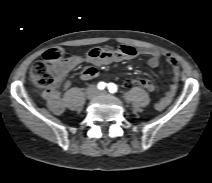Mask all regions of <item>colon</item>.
I'll return each mask as SVG.
<instances>
[{"label": "colon", "mask_w": 212, "mask_h": 183, "mask_svg": "<svg viewBox=\"0 0 212 183\" xmlns=\"http://www.w3.org/2000/svg\"><path fill=\"white\" fill-rule=\"evenodd\" d=\"M66 51L63 48H52L45 52L44 59L33 64L30 70V80L40 88H47L54 84V69L58 62L64 59ZM151 82L148 79L137 78L125 82V87H138L148 90Z\"/></svg>", "instance_id": "1"}]
</instances>
